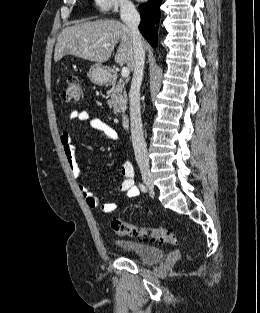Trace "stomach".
I'll return each mask as SVG.
<instances>
[{
    "label": "stomach",
    "mask_w": 260,
    "mask_h": 313,
    "mask_svg": "<svg viewBox=\"0 0 260 313\" xmlns=\"http://www.w3.org/2000/svg\"><path fill=\"white\" fill-rule=\"evenodd\" d=\"M88 77L94 84L102 85L108 82L109 72L107 71L106 67L96 63L90 67Z\"/></svg>",
    "instance_id": "1"
}]
</instances>
